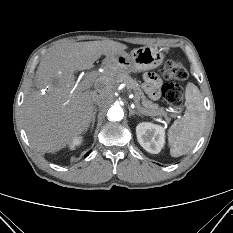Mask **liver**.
Instances as JSON below:
<instances>
[{
    "instance_id": "1",
    "label": "liver",
    "mask_w": 233,
    "mask_h": 233,
    "mask_svg": "<svg viewBox=\"0 0 233 233\" xmlns=\"http://www.w3.org/2000/svg\"><path fill=\"white\" fill-rule=\"evenodd\" d=\"M125 49L123 43L102 40L65 42L49 50L35 76L37 88H47V92L34 90L23 103L26 132L33 148L53 153L87 131L95 114L96 91L79 90L74 73L91 69L101 55L110 58ZM100 83L96 82V90L101 89Z\"/></svg>"
}]
</instances>
